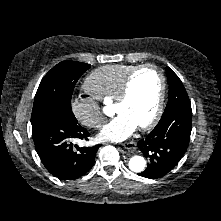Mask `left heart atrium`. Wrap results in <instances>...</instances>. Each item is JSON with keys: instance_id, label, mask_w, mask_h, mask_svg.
I'll return each instance as SVG.
<instances>
[{"instance_id": "obj_1", "label": "left heart atrium", "mask_w": 221, "mask_h": 221, "mask_svg": "<svg viewBox=\"0 0 221 221\" xmlns=\"http://www.w3.org/2000/svg\"><path fill=\"white\" fill-rule=\"evenodd\" d=\"M137 127L132 119L121 113L103 127L99 138L116 142L122 141L132 135Z\"/></svg>"}]
</instances>
